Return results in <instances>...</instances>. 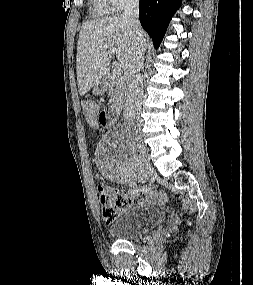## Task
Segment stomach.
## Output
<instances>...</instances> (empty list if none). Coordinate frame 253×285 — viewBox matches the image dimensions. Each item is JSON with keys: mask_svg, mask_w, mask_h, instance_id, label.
<instances>
[{"mask_svg": "<svg viewBox=\"0 0 253 285\" xmlns=\"http://www.w3.org/2000/svg\"><path fill=\"white\" fill-rule=\"evenodd\" d=\"M103 92H104V89L101 83H97L96 85H94L93 94L101 95L103 94Z\"/></svg>", "mask_w": 253, "mask_h": 285, "instance_id": "0dacf381", "label": "stomach"}]
</instances>
